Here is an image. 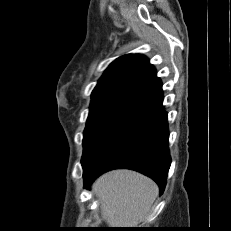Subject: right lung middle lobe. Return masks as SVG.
<instances>
[{
    "instance_id": "dd1d6c3e",
    "label": "right lung middle lobe",
    "mask_w": 231,
    "mask_h": 231,
    "mask_svg": "<svg viewBox=\"0 0 231 231\" xmlns=\"http://www.w3.org/2000/svg\"><path fill=\"white\" fill-rule=\"evenodd\" d=\"M149 106L142 100L126 96L105 97L92 102L84 130L82 165L116 131Z\"/></svg>"
}]
</instances>
